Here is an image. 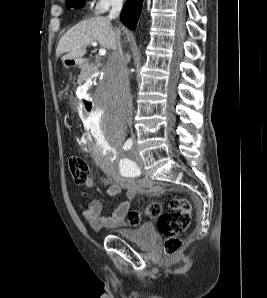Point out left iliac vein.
<instances>
[{
	"label": "left iliac vein",
	"mask_w": 267,
	"mask_h": 298,
	"mask_svg": "<svg viewBox=\"0 0 267 298\" xmlns=\"http://www.w3.org/2000/svg\"><path fill=\"white\" fill-rule=\"evenodd\" d=\"M132 155H133V157H134L139 163L142 162L141 158H140L139 155H138L136 145H135V146L133 147V149H132Z\"/></svg>",
	"instance_id": "left-iliac-vein-1"
}]
</instances>
